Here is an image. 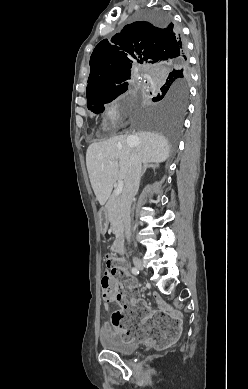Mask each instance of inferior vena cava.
I'll return each instance as SVG.
<instances>
[{"label":"inferior vena cava","mask_w":248,"mask_h":389,"mask_svg":"<svg viewBox=\"0 0 248 389\" xmlns=\"http://www.w3.org/2000/svg\"><path fill=\"white\" fill-rule=\"evenodd\" d=\"M141 173L142 162L137 153L133 152L130 157L129 169L125 178V187L120 198V215L124 223L125 236L128 243H130L131 238L130 209L132 200L139 189Z\"/></svg>","instance_id":"obj_1"}]
</instances>
